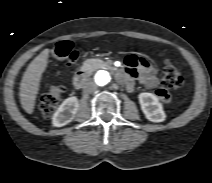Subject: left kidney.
Here are the masks:
<instances>
[{"instance_id":"5707ae66","label":"left kidney","mask_w":212,"mask_h":183,"mask_svg":"<svg viewBox=\"0 0 212 183\" xmlns=\"http://www.w3.org/2000/svg\"><path fill=\"white\" fill-rule=\"evenodd\" d=\"M141 110L151 122H163L166 114L159 99L152 93L143 92L138 95Z\"/></svg>"}]
</instances>
